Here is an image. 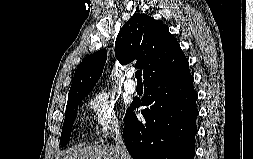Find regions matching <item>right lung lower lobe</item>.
I'll use <instances>...</instances> for the list:
<instances>
[{
	"label": "right lung lower lobe",
	"mask_w": 253,
	"mask_h": 159,
	"mask_svg": "<svg viewBox=\"0 0 253 159\" xmlns=\"http://www.w3.org/2000/svg\"><path fill=\"white\" fill-rule=\"evenodd\" d=\"M188 63L174 73L146 81L144 98L124 118V142L133 159H194L197 93ZM148 106L138 121L133 110Z\"/></svg>",
	"instance_id": "98d812e1"
}]
</instances>
